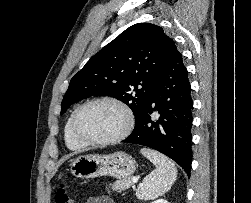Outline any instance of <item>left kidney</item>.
<instances>
[{"instance_id": "left-kidney-1", "label": "left kidney", "mask_w": 251, "mask_h": 203, "mask_svg": "<svg viewBox=\"0 0 251 203\" xmlns=\"http://www.w3.org/2000/svg\"><path fill=\"white\" fill-rule=\"evenodd\" d=\"M151 203H168V201L161 198V199H157V200H155V201H153Z\"/></svg>"}]
</instances>
